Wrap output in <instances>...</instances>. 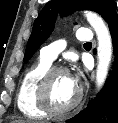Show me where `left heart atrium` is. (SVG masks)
<instances>
[{"mask_svg":"<svg viewBox=\"0 0 118 123\" xmlns=\"http://www.w3.org/2000/svg\"><path fill=\"white\" fill-rule=\"evenodd\" d=\"M71 81L73 84L77 85L78 84V75L76 73L70 75Z\"/></svg>","mask_w":118,"mask_h":123,"instance_id":"39dd6f15","label":"left heart atrium"}]
</instances>
